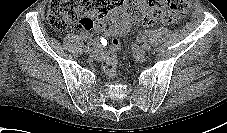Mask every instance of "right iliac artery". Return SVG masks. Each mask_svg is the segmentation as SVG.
<instances>
[{
  "label": "right iliac artery",
  "mask_w": 227,
  "mask_h": 133,
  "mask_svg": "<svg viewBox=\"0 0 227 133\" xmlns=\"http://www.w3.org/2000/svg\"><path fill=\"white\" fill-rule=\"evenodd\" d=\"M89 48H90L89 45H85V46L83 47L84 52H87Z\"/></svg>",
  "instance_id": "82829eb1"
}]
</instances>
